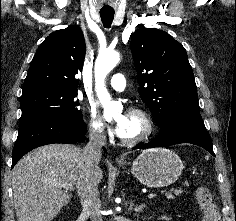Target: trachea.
Here are the masks:
<instances>
[{
	"mask_svg": "<svg viewBox=\"0 0 236 221\" xmlns=\"http://www.w3.org/2000/svg\"><path fill=\"white\" fill-rule=\"evenodd\" d=\"M101 20L105 28H110L114 19V11H101Z\"/></svg>",
	"mask_w": 236,
	"mask_h": 221,
	"instance_id": "1",
	"label": "trachea"
}]
</instances>
